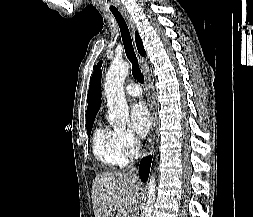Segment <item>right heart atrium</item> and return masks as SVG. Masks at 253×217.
Masks as SVG:
<instances>
[{
  "instance_id": "right-heart-atrium-1",
  "label": "right heart atrium",
  "mask_w": 253,
  "mask_h": 217,
  "mask_svg": "<svg viewBox=\"0 0 253 217\" xmlns=\"http://www.w3.org/2000/svg\"><path fill=\"white\" fill-rule=\"evenodd\" d=\"M115 132L117 141L126 155L131 157L134 156L138 152L139 141L128 130L119 129Z\"/></svg>"
}]
</instances>
